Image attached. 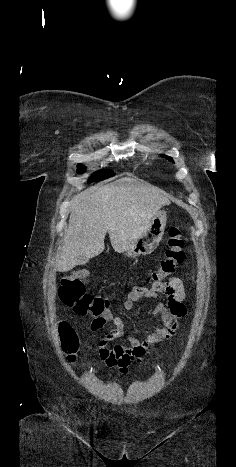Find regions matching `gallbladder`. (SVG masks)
Returning a JSON list of instances; mask_svg holds the SVG:
<instances>
[{"mask_svg": "<svg viewBox=\"0 0 236 467\" xmlns=\"http://www.w3.org/2000/svg\"><path fill=\"white\" fill-rule=\"evenodd\" d=\"M81 261H82V264H81V265H83V264H86V263L89 261V259H87V258H85V257H82V258H81Z\"/></svg>", "mask_w": 236, "mask_h": 467, "instance_id": "gallbladder-1", "label": "gallbladder"}]
</instances>
